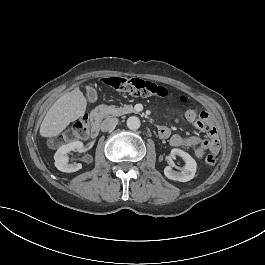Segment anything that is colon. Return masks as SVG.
<instances>
[{"label": "colon", "instance_id": "colon-1", "mask_svg": "<svg viewBox=\"0 0 265 265\" xmlns=\"http://www.w3.org/2000/svg\"><path fill=\"white\" fill-rule=\"evenodd\" d=\"M101 83L117 92L127 93L135 97L155 96L158 98H167L171 95L170 89L165 85L138 77L107 76L101 79ZM180 101L184 105L188 104L187 98L184 96H181ZM65 137L72 139L73 132L68 131ZM62 140L63 137L61 135L54 136L51 139L55 145H60ZM204 162L206 165H214L217 162V157L214 153L207 154Z\"/></svg>", "mask_w": 265, "mask_h": 265}]
</instances>
